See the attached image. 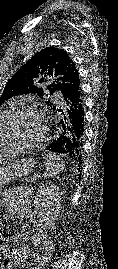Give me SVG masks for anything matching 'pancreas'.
Listing matches in <instances>:
<instances>
[{
    "instance_id": "obj_1",
    "label": "pancreas",
    "mask_w": 118,
    "mask_h": 269,
    "mask_svg": "<svg viewBox=\"0 0 118 269\" xmlns=\"http://www.w3.org/2000/svg\"><path fill=\"white\" fill-rule=\"evenodd\" d=\"M26 181L27 182H33L34 181V178L33 177H27L26 178ZM22 184H25V181H22Z\"/></svg>"
}]
</instances>
